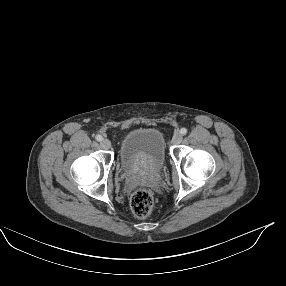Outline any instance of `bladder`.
Here are the masks:
<instances>
[{
    "label": "bladder",
    "mask_w": 286,
    "mask_h": 286,
    "mask_svg": "<svg viewBox=\"0 0 286 286\" xmlns=\"http://www.w3.org/2000/svg\"><path fill=\"white\" fill-rule=\"evenodd\" d=\"M163 134L155 128H139L128 132L119 146V163L124 170L155 173L166 162Z\"/></svg>",
    "instance_id": "31cf9c89"
}]
</instances>
